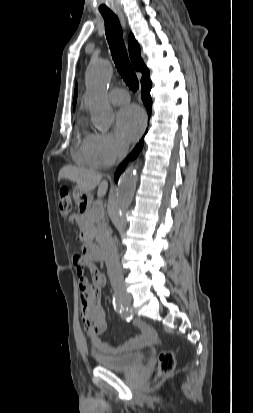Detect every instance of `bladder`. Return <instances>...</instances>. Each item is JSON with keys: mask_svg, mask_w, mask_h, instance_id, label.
<instances>
[{"mask_svg": "<svg viewBox=\"0 0 253 413\" xmlns=\"http://www.w3.org/2000/svg\"><path fill=\"white\" fill-rule=\"evenodd\" d=\"M94 359L101 367L114 371H126L141 366L145 355L142 352H131L112 356L98 355Z\"/></svg>", "mask_w": 253, "mask_h": 413, "instance_id": "1", "label": "bladder"}]
</instances>
